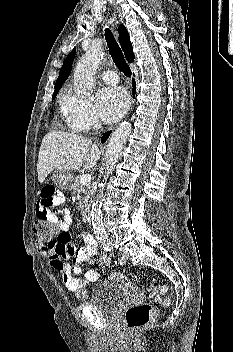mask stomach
<instances>
[{
  "label": "stomach",
  "instance_id": "0dacf381",
  "mask_svg": "<svg viewBox=\"0 0 233 352\" xmlns=\"http://www.w3.org/2000/svg\"><path fill=\"white\" fill-rule=\"evenodd\" d=\"M55 185L62 190H70L72 188V174L64 170H56L53 174Z\"/></svg>",
  "mask_w": 233,
  "mask_h": 352
}]
</instances>
